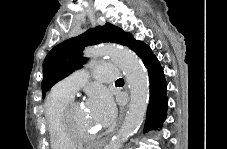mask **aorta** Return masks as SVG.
Returning <instances> with one entry per match:
<instances>
[{"mask_svg": "<svg viewBox=\"0 0 227 149\" xmlns=\"http://www.w3.org/2000/svg\"><path fill=\"white\" fill-rule=\"evenodd\" d=\"M86 56L98 58L108 56L124 73L130 88V103L119 132L112 138L107 149H121L123 143L140 127L149 99L148 74L137 56L125 47L105 45L88 49Z\"/></svg>", "mask_w": 227, "mask_h": 149, "instance_id": "1", "label": "aorta"}]
</instances>
